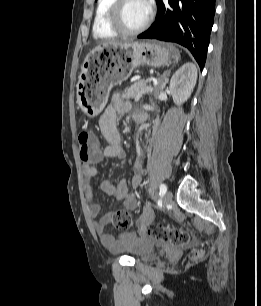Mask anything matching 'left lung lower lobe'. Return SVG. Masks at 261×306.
Wrapping results in <instances>:
<instances>
[{"label": "left lung lower lobe", "mask_w": 261, "mask_h": 306, "mask_svg": "<svg viewBox=\"0 0 261 306\" xmlns=\"http://www.w3.org/2000/svg\"><path fill=\"white\" fill-rule=\"evenodd\" d=\"M157 16L138 38L179 43L188 48L202 69L215 14V0H156Z\"/></svg>", "instance_id": "left-lung-lower-lobe-1"}]
</instances>
